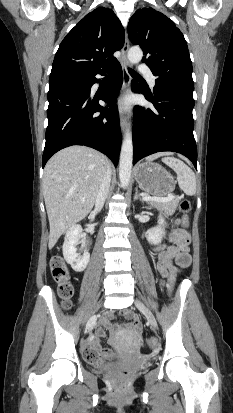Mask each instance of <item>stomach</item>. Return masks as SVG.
I'll list each match as a JSON object with an SVG mask.
<instances>
[{
	"label": "stomach",
	"mask_w": 233,
	"mask_h": 413,
	"mask_svg": "<svg viewBox=\"0 0 233 413\" xmlns=\"http://www.w3.org/2000/svg\"><path fill=\"white\" fill-rule=\"evenodd\" d=\"M135 179L143 191L154 196H166L175 188L173 176L161 165L150 161L137 165Z\"/></svg>",
	"instance_id": "1"
}]
</instances>
